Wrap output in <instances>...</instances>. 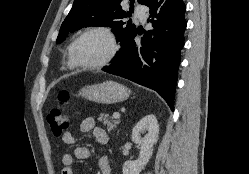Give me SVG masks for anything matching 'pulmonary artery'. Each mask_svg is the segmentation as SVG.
I'll list each match as a JSON object with an SVG mask.
<instances>
[{"label":"pulmonary artery","instance_id":"e3ab8cb5","mask_svg":"<svg viewBox=\"0 0 249 174\" xmlns=\"http://www.w3.org/2000/svg\"><path fill=\"white\" fill-rule=\"evenodd\" d=\"M134 15L136 18H138L139 20L144 22L147 18L148 11L145 7H143L141 5H137L135 8V11H134Z\"/></svg>","mask_w":249,"mask_h":174}]
</instances>
